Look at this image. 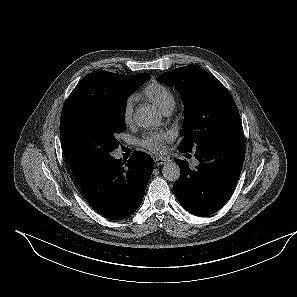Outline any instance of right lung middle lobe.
<instances>
[{"label":"right lung middle lobe","mask_w":297,"mask_h":297,"mask_svg":"<svg viewBox=\"0 0 297 297\" xmlns=\"http://www.w3.org/2000/svg\"><path fill=\"white\" fill-rule=\"evenodd\" d=\"M149 77L126 83L114 98L81 102L60 122L67 148L84 165L94 168L112 157L126 129L127 97Z\"/></svg>","instance_id":"right-lung-middle-lobe-1"}]
</instances>
